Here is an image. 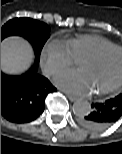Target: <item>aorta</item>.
Instances as JSON below:
<instances>
[{"label":"aorta","instance_id":"762f6f07","mask_svg":"<svg viewBox=\"0 0 122 154\" xmlns=\"http://www.w3.org/2000/svg\"><path fill=\"white\" fill-rule=\"evenodd\" d=\"M73 112L76 116L83 117L90 113L91 105L87 100L78 99L73 104Z\"/></svg>","mask_w":122,"mask_h":154}]
</instances>
